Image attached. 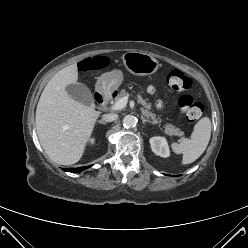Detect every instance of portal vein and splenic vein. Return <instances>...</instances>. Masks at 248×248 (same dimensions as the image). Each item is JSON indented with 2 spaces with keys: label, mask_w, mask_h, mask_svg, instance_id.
I'll list each match as a JSON object with an SVG mask.
<instances>
[{
  "label": "portal vein and splenic vein",
  "mask_w": 248,
  "mask_h": 248,
  "mask_svg": "<svg viewBox=\"0 0 248 248\" xmlns=\"http://www.w3.org/2000/svg\"><path fill=\"white\" fill-rule=\"evenodd\" d=\"M127 102H128V96H125V97L119 99L113 106H111V109L112 110H120L127 105Z\"/></svg>",
  "instance_id": "18ae733b"
}]
</instances>
